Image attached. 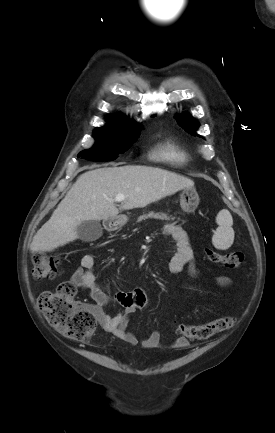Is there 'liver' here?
Returning <instances> with one entry per match:
<instances>
[{
	"mask_svg": "<svg viewBox=\"0 0 275 433\" xmlns=\"http://www.w3.org/2000/svg\"><path fill=\"white\" fill-rule=\"evenodd\" d=\"M193 187L192 180L156 167L125 165L87 171L35 234L30 251H53L76 240V229L82 222L116 218L122 210L143 208ZM118 194L125 196L119 209L113 201Z\"/></svg>",
	"mask_w": 275,
	"mask_h": 433,
	"instance_id": "6515ba94",
	"label": "liver"
}]
</instances>
